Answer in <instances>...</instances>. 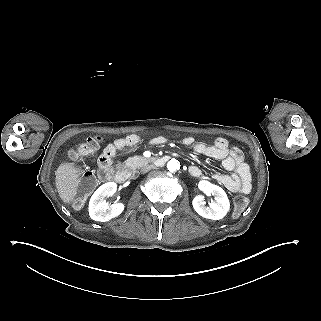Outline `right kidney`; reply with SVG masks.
<instances>
[{"mask_svg":"<svg viewBox=\"0 0 321 321\" xmlns=\"http://www.w3.org/2000/svg\"><path fill=\"white\" fill-rule=\"evenodd\" d=\"M117 191L115 182H107L101 185L93 194L89 202V215L94 221L107 222L118 217L125 209V204L122 202L114 203L107 206L106 201H103L106 195H113Z\"/></svg>","mask_w":321,"mask_h":321,"instance_id":"right-kidney-1","label":"right kidney"}]
</instances>
